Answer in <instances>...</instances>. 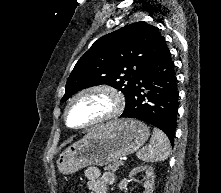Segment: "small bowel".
<instances>
[{
  "label": "small bowel",
  "mask_w": 221,
  "mask_h": 193,
  "mask_svg": "<svg viewBox=\"0 0 221 193\" xmlns=\"http://www.w3.org/2000/svg\"><path fill=\"white\" fill-rule=\"evenodd\" d=\"M84 176L92 193H106L107 186L114 183V175L111 172L101 173L97 167L86 168Z\"/></svg>",
  "instance_id": "c3829d8e"
}]
</instances>
